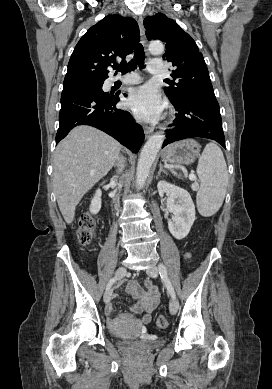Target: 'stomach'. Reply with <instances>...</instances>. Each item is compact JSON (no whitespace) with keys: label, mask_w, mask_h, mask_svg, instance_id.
<instances>
[{"label":"stomach","mask_w":272,"mask_h":389,"mask_svg":"<svg viewBox=\"0 0 272 389\" xmlns=\"http://www.w3.org/2000/svg\"><path fill=\"white\" fill-rule=\"evenodd\" d=\"M201 146L193 139H186L170 144L162 150L163 160L169 163L190 164L200 154Z\"/></svg>","instance_id":"stomach-1"}]
</instances>
